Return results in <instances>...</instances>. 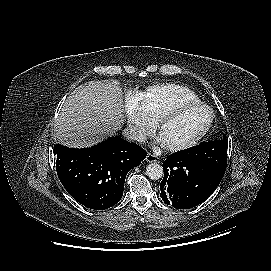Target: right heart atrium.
Returning <instances> with one entry per match:
<instances>
[{
    "label": "right heart atrium",
    "mask_w": 271,
    "mask_h": 271,
    "mask_svg": "<svg viewBox=\"0 0 271 271\" xmlns=\"http://www.w3.org/2000/svg\"><path fill=\"white\" fill-rule=\"evenodd\" d=\"M124 119L130 136L137 141L143 140L151 132L154 121L146 109L144 93L137 90L129 92Z\"/></svg>",
    "instance_id": "obj_1"
}]
</instances>
